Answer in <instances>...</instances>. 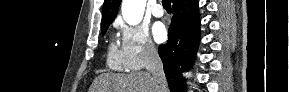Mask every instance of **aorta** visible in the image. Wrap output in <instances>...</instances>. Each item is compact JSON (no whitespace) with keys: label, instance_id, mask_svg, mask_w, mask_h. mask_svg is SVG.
Instances as JSON below:
<instances>
[{"label":"aorta","instance_id":"aorta-1","mask_svg":"<svg viewBox=\"0 0 289 92\" xmlns=\"http://www.w3.org/2000/svg\"><path fill=\"white\" fill-rule=\"evenodd\" d=\"M146 0H123L122 2V16L126 23L129 25H137L141 22Z\"/></svg>","mask_w":289,"mask_h":92}]
</instances>
